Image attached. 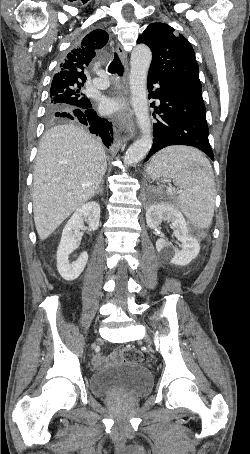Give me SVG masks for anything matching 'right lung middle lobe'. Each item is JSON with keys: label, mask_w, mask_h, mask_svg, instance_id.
<instances>
[{"label": "right lung middle lobe", "mask_w": 250, "mask_h": 454, "mask_svg": "<svg viewBox=\"0 0 250 454\" xmlns=\"http://www.w3.org/2000/svg\"><path fill=\"white\" fill-rule=\"evenodd\" d=\"M82 85H51L46 112V118L49 122L62 120L63 118L57 114L60 111H71L73 108L81 107L90 102L80 92Z\"/></svg>", "instance_id": "obj_1"}]
</instances>
